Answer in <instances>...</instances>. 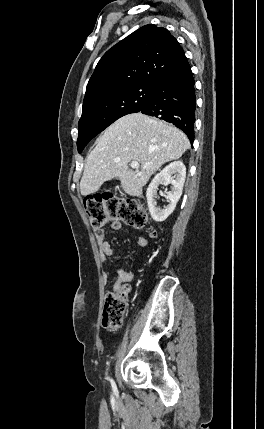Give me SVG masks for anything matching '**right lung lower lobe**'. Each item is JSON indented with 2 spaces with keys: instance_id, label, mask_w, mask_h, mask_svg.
Listing matches in <instances>:
<instances>
[{
  "instance_id": "obj_1",
  "label": "right lung lower lobe",
  "mask_w": 264,
  "mask_h": 429,
  "mask_svg": "<svg viewBox=\"0 0 264 429\" xmlns=\"http://www.w3.org/2000/svg\"><path fill=\"white\" fill-rule=\"evenodd\" d=\"M193 74L184 56L155 85V89L139 111L173 123L194 141L196 97Z\"/></svg>"
}]
</instances>
